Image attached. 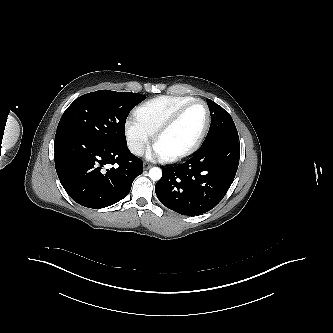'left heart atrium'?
<instances>
[{"mask_svg": "<svg viewBox=\"0 0 333 333\" xmlns=\"http://www.w3.org/2000/svg\"><path fill=\"white\" fill-rule=\"evenodd\" d=\"M150 157H153V156H159V157H163V155L157 150L155 149V152L152 153V154H149Z\"/></svg>", "mask_w": 333, "mask_h": 333, "instance_id": "left-heart-atrium-1", "label": "left heart atrium"}]
</instances>
